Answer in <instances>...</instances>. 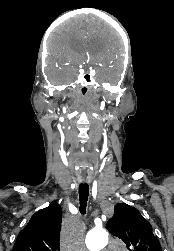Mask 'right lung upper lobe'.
Here are the masks:
<instances>
[{
	"instance_id": "cb5924a9",
	"label": "right lung upper lobe",
	"mask_w": 174,
	"mask_h": 251,
	"mask_svg": "<svg viewBox=\"0 0 174 251\" xmlns=\"http://www.w3.org/2000/svg\"><path fill=\"white\" fill-rule=\"evenodd\" d=\"M62 211L56 202L38 212L18 234L13 251H58Z\"/></svg>"
}]
</instances>
